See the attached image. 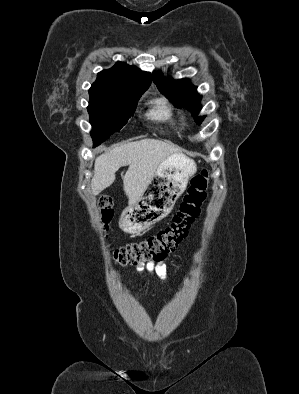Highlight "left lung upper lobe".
I'll return each instance as SVG.
<instances>
[{
  "mask_svg": "<svg viewBox=\"0 0 299 394\" xmlns=\"http://www.w3.org/2000/svg\"><path fill=\"white\" fill-rule=\"evenodd\" d=\"M153 80L157 88L177 107H185L194 116L201 110V96L197 93V87L193 86L188 79L173 80L165 78L161 73L154 72ZM204 117L197 118L196 123L201 124Z\"/></svg>",
  "mask_w": 299,
  "mask_h": 394,
  "instance_id": "left-lung-upper-lobe-1",
  "label": "left lung upper lobe"
}]
</instances>
